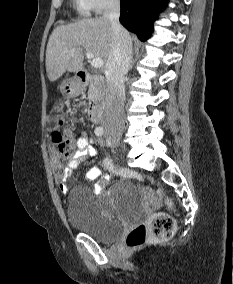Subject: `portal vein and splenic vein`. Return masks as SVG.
Here are the masks:
<instances>
[{
  "instance_id": "18ae733b",
  "label": "portal vein and splenic vein",
  "mask_w": 233,
  "mask_h": 284,
  "mask_svg": "<svg viewBox=\"0 0 233 284\" xmlns=\"http://www.w3.org/2000/svg\"><path fill=\"white\" fill-rule=\"evenodd\" d=\"M76 49H72L71 52L74 53ZM86 57L91 60V65L95 69H100L104 65V61L101 58L94 57V54L92 52L87 51Z\"/></svg>"
}]
</instances>
